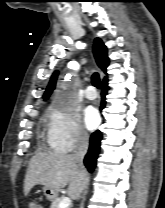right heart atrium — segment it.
Returning a JSON list of instances; mask_svg holds the SVG:
<instances>
[{"label": "right heart atrium", "instance_id": "right-heart-atrium-1", "mask_svg": "<svg viewBox=\"0 0 165 208\" xmlns=\"http://www.w3.org/2000/svg\"><path fill=\"white\" fill-rule=\"evenodd\" d=\"M88 134L73 110L53 105L48 112L47 143L58 153H68L85 145Z\"/></svg>", "mask_w": 165, "mask_h": 208}]
</instances>
